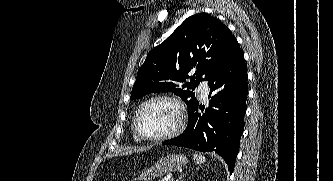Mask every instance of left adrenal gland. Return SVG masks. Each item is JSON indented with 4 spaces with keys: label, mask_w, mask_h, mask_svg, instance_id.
I'll return each instance as SVG.
<instances>
[{
    "label": "left adrenal gland",
    "mask_w": 333,
    "mask_h": 181,
    "mask_svg": "<svg viewBox=\"0 0 333 181\" xmlns=\"http://www.w3.org/2000/svg\"><path fill=\"white\" fill-rule=\"evenodd\" d=\"M191 170H193V168L189 169L188 172H190ZM188 172L181 174V176L179 177V180H181ZM176 181H178V180H176Z\"/></svg>",
    "instance_id": "obj_1"
}]
</instances>
